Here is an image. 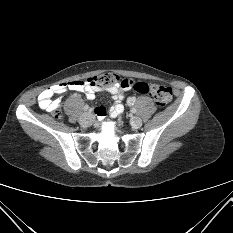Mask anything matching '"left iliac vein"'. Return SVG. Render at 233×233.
<instances>
[{"instance_id":"1","label":"left iliac vein","mask_w":233,"mask_h":233,"mask_svg":"<svg viewBox=\"0 0 233 233\" xmlns=\"http://www.w3.org/2000/svg\"><path fill=\"white\" fill-rule=\"evenodd\" d=\"M130 123H131V126L134 128H140L142 126V120L139 117H133Z\"/></svg>"}]
</instances>
